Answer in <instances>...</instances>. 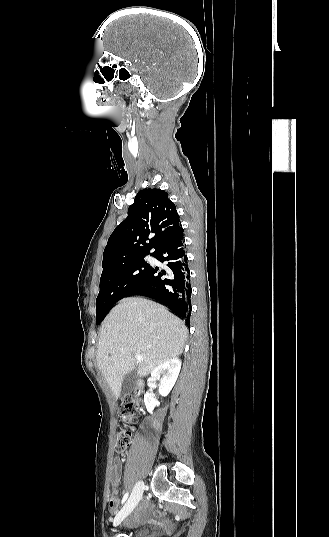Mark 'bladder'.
I'll return each mask as SVG.
<instances>
[{"label":"bladder","mask_w":329,"mask_h":537,"mask_svg":"<svg viewBox=\"0 0 329 537\" xmlns=\"http://www.w3.org/2000/svg\"><path fill=\"white\" fill-rule=\"evenodd\" d=\"M147 533H148L147 531L141 530V531L136 532L135 537H145Z\"/></svg>","instance_id":"bladder-1"}]
</instances>
